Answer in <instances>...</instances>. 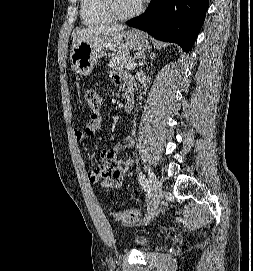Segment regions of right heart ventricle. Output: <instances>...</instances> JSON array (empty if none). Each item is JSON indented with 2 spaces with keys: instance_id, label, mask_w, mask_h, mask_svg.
<instances>
[{
  "instance_id": "obj_1",
  "label": "right heart ventricle",
  "mask_w": 253,
  "mask_h": 271,
  "mask_svg": "<svg viewBox=\"0 0 253 271\" xmlns=\"http://www.w3.org/2000/svg\"><path fill=\"white\" fill-rule=\"evenodd\" d=\"M80 16L87 26H99L112 22L104 11L102 0H80Z\"/></svg>"
}]
</instances>
